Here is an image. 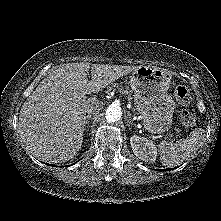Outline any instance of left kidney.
<instances>
[{"mask_svg":"<svg viewBox=\"0 0 221 221\" xmlns=\"http://www.w3.org/2000/svg\"><path fill=\"white\" fill-rule=\"evenodd\" d=\"M130 144L134 154L141 160L149 163L156 161L157 148L152 141L145 137L132 136Z\"/></svg>","mask_w":221,"mask_h":221,"instance_id":"left-kidney-1","label":"left kidney"}]
</instances>
